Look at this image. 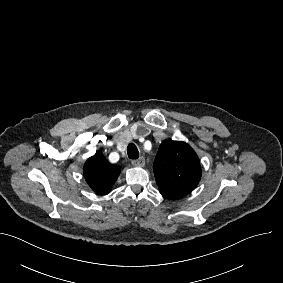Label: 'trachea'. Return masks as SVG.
I'll return each instance as SVG.
<instances>
[{
	"label": "trachea",
	"instance_id": "1",
	"mask_svg": "<svg viewBox=\"0 0 283 283\" xmlns=\"http://www.w3.org/2000/svg\"><path fill=\"white\" fill-rule=\"evenodd\" d=\"M127 154L129 159H137L139 157V151L134 143H130L127 147Z\"/></svg>",
	"mask_w": 283,
	"mask_h": 283
}]
</instances>
